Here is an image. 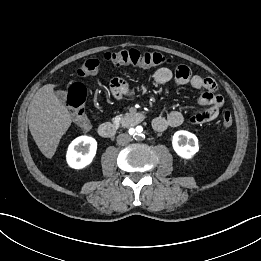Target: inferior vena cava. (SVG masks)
<instances>
[{
  "mask_svg": "<svg viewBox=\"0 0 261 261\" xmlns=\"http://www.w3.org/2000/svg\"><path fill=\"white\" fill-rule=\"evenodd\" d=\"M131 141V136L127 133H122L117 136V143L119 145H126Z\"/></svg>",
  "mask_w": 261,
  "mask_h": 261,
  "instance_id": "602c4592",
  "label": "inferior vena cava"
}]
</instances>
